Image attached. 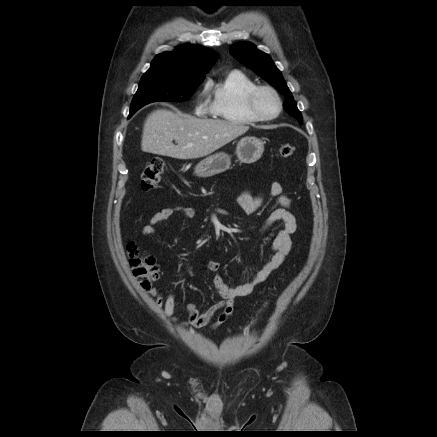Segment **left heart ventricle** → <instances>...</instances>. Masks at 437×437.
I'll return each instance as SVG.
<instances>
[{"instance_id":"1","label":"left heart ventricle","mask_w":437,"mask_h":437,"mask_svg":"<svg viewBox=\"0 0 437 437\" xmlns=\"http://www.w3.org/2000/svg\"><path fill=\"white\" fill-rule=\"evenodd\" d=\"M257 109L265 116H272L278 109V104L275 97L269 92H262L257 98Z\"/></svg>"}]
</instances>
